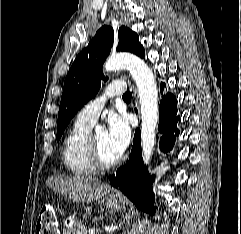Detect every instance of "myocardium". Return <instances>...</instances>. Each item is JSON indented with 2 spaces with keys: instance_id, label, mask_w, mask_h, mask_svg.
Wrapping results in <instances>:
<instances>
[{
  "instance_id": "obj_1",
  "label": "myocardium",
  "mask_w": 241,
  "mask_h": 234,
  "mask_svg": "<svg viewBox=\"0 0 241 234\" xmlns=\"http://www.w3.org/2000/svg\"><path fill=\"white\" fill-rule=\"evenodd\" d=\"M88 153L91 163L98 170H110L118 166L124 160V156L121 154L114 161H105L102 157L99 145L93 135L89 136Z\"/></svg>"
}]
</instances>
